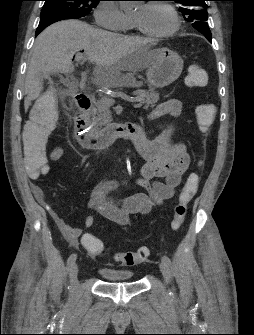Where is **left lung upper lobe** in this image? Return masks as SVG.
<instances>
[{"mask_svg":"<svg viewBox=\"0 0 254 335\" xmlns=\"http://www.w3.org/2000/svg\"><path fill=\"white\" fill-rule=\"evenodd\" d=\"M181 4L179 11L183 14L186 21L192 22L195 29L205 35L207 39H211V32L206 20L208 13L206 11L207 0H173Z\"/></svg>","mask_w":254,"mask_h":335,"instance_id":"obj_1","label":"left lung upper lobe"}]
</instances>
